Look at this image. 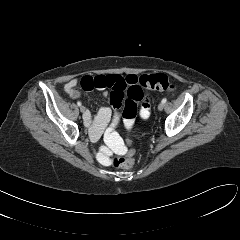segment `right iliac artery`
Returning <instances> with one entry per match:
<instances>
[{
    "label": "right iliac artery",
    "mask_w": 240,
    "mask_h": 240,
    "mask_svg": "<svg viewBox=\"0 0 240 240\" xmlns=\"http://www.w3.org/2000/svg\"><path fill=\"white\" fill-rule=\"evenodd\" d=\"M77 105H78V106H81V102H80V101H78V102H77Z\"/></svg>",
    "instance_id": "1"
}]
</instances>
